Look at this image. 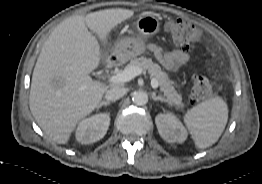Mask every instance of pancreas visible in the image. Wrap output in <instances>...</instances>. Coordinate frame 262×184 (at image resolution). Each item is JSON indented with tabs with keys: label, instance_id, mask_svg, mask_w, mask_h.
<instances>
[{
	"label": "pancreas",
	"instance_id": "pancreas-1",
	"mask_svg": "<svg viewBox=\"0 0 262 184\" xmlns=\"http://www.w3.org/2000/svg\"><path fill=\"white\" fill-rule=\"evenodd\" d=\"M132 66H137L143 71H147L151 77L156 79L160 86V90L164 93L171 104H175L179 107L184 106L181 94L176 91L173 85L174 82L171 81L168 75L161 70L158 64L152 62L150 58L139 57L132 59L125 69Z\"/></svg>",
	"mask_w": 262,
	"mask_h": 184
}]
</instances>
